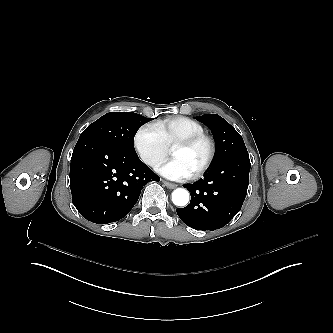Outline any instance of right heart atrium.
I'll use <instances>...</instances> for the list:
<instances>
[{
  "mask_svg": "<svg viewBox=\"0 0 333 333\" xmlns=\"http://www.w3.org/2000/svg\"><path fill=\"white\" fill-rule=\"evenodd\" d=\"M134 148L140 159L155 170L165 160L169 148L155 124H145L136 133Z\"/></svg>",
  "mask_w": 333,
  "mask_h": 333,
  "instance_id": "right-heart-atrium-1",
  "label": "right heart atrium"
}]
</instances>
